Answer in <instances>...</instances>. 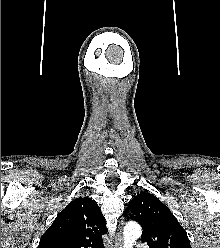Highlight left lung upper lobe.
<instances>
[{"label":"left lung upper lobe","mask_w":220,"mask_h":248,"mask_svg":"<svg viewBox=\"0 0 220 248\" xmlns=\"http://www.w3.org/2000/svg\"><path fill=\"white\" fill-rule=\"evenodd\" d=\"M125 217L142 226L141 240L151 248H191L186 231L170 209L148 192L138 193L129 202Z\"/></svg>","instance_id":"obj_1"}]
</instances>
